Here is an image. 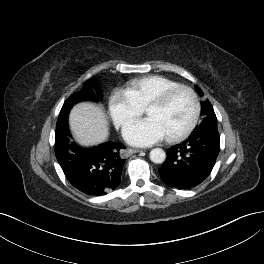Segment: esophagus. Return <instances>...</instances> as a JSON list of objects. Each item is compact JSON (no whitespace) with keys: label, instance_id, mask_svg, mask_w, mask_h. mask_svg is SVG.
I'll list each match as a JSON object with an SVG mask.
<instances>
[{"label":"esophagus","instance_id":"34e87169","mask_svg":"<svg viewBox=\"0 0 264 264\" xmlns=\"http://www.w3.org/2000/svg\"><path fill=\"white\" fill-rule=\"evenodd\" d=\"M127 152H128L129 154H135V153H140L141 150H139V149H128Z\"/></svg>","mask_w":264,"mask_h":264}]
</instances>
